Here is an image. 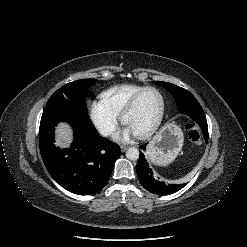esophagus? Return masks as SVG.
Listing matches in <instances>:
<instances>
[{
  "instance_id": "esophagus-1",
  "label": "esophagus",
  "mask_w": 247,
  "mask_h": 247,
  "mask_svg": "<svg viewBox=\"0 0 247 247\" xmlns=\"http://www.w3.org/2000/svg\"><path fill=\"white\" fill-rule=\"evenodd\" d=\"M128 149V146H121V151L124 152Z\"/></svg>"
}]
</instances>
